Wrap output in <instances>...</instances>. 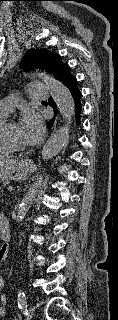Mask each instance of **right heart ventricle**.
<instances>
[{"instance_id": "1", "label": "right heart ventricle", "mask_w": 118, "mask_h": 320, "mask_svg": "<svg viewBox=\"0 0 118 320\" xmlns=\"http://www.w3.org/2000/svg\"><path fill=\"white\" fill-rule=\"evenodd\" d=\"M6 116L0 112V126L5 121ZM12 150L7 148L1 141H0V157H5L11 154Z\"/></svg>"}]
</instances>
